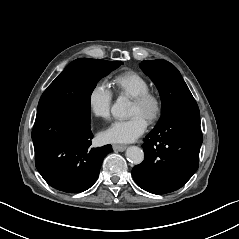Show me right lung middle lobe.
Listing matches in <instances>:
<instances>
[{"mask_svg":"<svg viewBox=\"0 0 239 239\" xmlns=\"http://www.w3.org/2000/svg\"><path fill=\"white\" fill-rule=\"evenodd\" d=\"M123 62L80 58L71 62L42 94L38 109L49 104L78 101L90 108L91 94L97 82Z\"/></svg>","mask_w":239,"mask_h":239,"instance_id":"obj_1","label":"right lung middle lobe"}]
</instances>
